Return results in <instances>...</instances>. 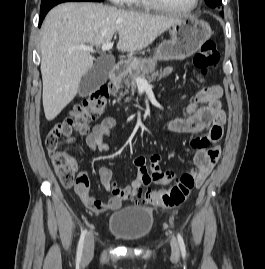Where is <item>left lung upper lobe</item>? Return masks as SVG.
I'll return each mask as SVG.
<instances>
[{
    "label": "left lung upper lobe",
    "instance_id": "left-lung-upper-lobe-1",
    "mask_svg": "<svg viewBox=\"0 0 265 269\" xmlns=\"http://www.w3.org/2000/svg\"><path fill=\"white\" fill-rule=\"evenodd\" d=\"M205 2L211 8L219 7L222 5L221 0H205ZM221 14H223V12H221Z\"/></svg>",
    "mask_w": 265,
    "mask_h": 269
}]
</instances>
